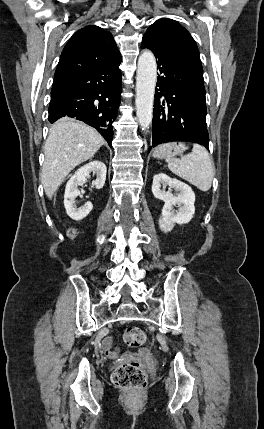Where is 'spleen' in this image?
I'll return each instance as SVG.
<instances>
[{
	"mask_svg": "<svg viewBox=\"0 0 264 429\" xmlns=\"http://www.w3.org/2000/svg\"><path fill=\"white\" fill-rule=\"evenodd\" d=\"M168 168L175 175L206 192L212 186L214 166L206 149L194 144L192 152L181 159L167 158Z\"/></svg>",
	"mask_w": 264,
	"mask_h": 429,
	"instance_id": "spleen-1",
	"label": "spleen"
}]
</instances>
